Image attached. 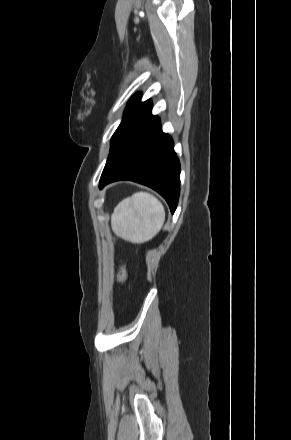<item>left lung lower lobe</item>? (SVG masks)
I'll use <instances>...</instances> for the list:
<instances>
[{"label":"left lung lower lobe","instance_id":"obj_1","mask_svg":"<svg viewBox=\"0 0 291 440\" xmlns=\"http://www.w3.org/2000/svg\"><path fill=\"white\" fill-rule=\"evenodd\" d=\"M151 108L136 117L112 143L99 188L118 180H132L160 193L174 213L180 192V163L172 138L162 132Z\"/></svg>","mask_w":291,"mask_h":440}]
</instances>
